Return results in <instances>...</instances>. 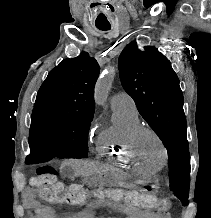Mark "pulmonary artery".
Listing matches in <instances>:
<instances>
[{"mask_svg": "<svg viewBox=\"0 0 211 218\" xmlns=\"http://www.w3.org/2000/svg\"><path fill=\"white\" fill-rule=\"evenodd\" d=\"M112 108H128L137 110L134 99L127 92L121 91L115 94L111 99Z\"/></svg>", "mask_w": 211, "mask_h": 218, "instance_id": "1", "label": "pulmonary artery"}]
</instances>
